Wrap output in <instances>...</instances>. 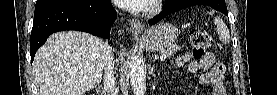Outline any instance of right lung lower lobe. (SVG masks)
<instances>
[{"mask_svg":"<svg viewBox=\"0 0 277 95\" xmlns=\"http://www.w3.org/2000/svg\"><path fill=\"white\" fill-rule=\"evenodd\" d=\"M116 17L110 0H37L30 39L31 62L52 33L76 30L109 38Z\"/></svg>","mask_w":277,"mask_h":95,"instance_id":"98d812e1","label":"right lung lower lobe"}]
</instances>
